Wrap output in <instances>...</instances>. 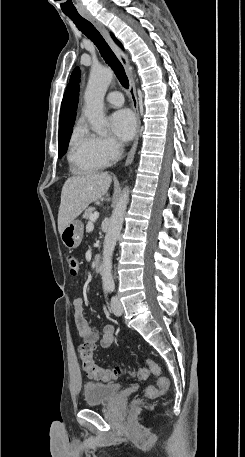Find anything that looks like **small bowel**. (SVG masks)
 <instances>
[{
  "mask_svg": "<svg viewBox=\"0 0 245 457\" xmlns=\"http://www.w3.org/2000/svg\"><path fill=\"white\" fill-rule=\"evenodd\" d=\"M73 310L78 334L84 342L93 345L99 343L103 348L108 347L112 343L113 327L110 325L104 326L101 334L94 331L84 316L83 300L81 298L73 300Z\"/></svg>",
  "mask_w": 245,
  "mask_h": 457,
  "instance_id": "c3829d8e",
  "label": "small bowel"
}]
</instances>
